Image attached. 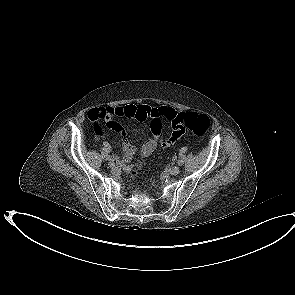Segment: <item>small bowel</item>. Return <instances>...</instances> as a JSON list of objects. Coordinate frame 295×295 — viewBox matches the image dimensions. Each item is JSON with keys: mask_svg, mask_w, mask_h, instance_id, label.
I'll return each instance as SVG.
<instances>
[{"mask_svg": "<svg viewBox=\"0 0 295 295\" xmlns=\"http://www.w3.org/2000/svg\"><path fill=\"white\" fill-rule=\"evenodd\" d=\"M152 108L154 107L135 104L104 109L94 108L88 112L87 116L91 121L104 120V126L106 128H110L112 131H120L122 129V122L120 120H115L111 116L125 117L139 121L150 119L149 126L153 134L152 138H154L158 142V145L162 148H168L179 139L181 134L177 130L175 124V117L179 113L173 108L165 106L155 109ZM165 120L171 124V128L168 134L163 137L162 130ZM122 151V156H116V159L121 165H124L132 159L136 152V148L125 140ZM126 170H129V168H126Z\"/></svg>", "mask_w": 295, "mask_h": 295, "instance_id": "1", "label": "small bowel"}]
</instances>
